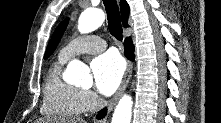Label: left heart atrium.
I'll return each mask as SVG.
<instances>
[{"label": "left heart atrium", "mask_w": 221, "mask_h": 123, "mask_svg": "<svg viewBox=\"0 0 221 123\" xmlns=\"http://www.w3.org/2000/svg\"><path fill=\"white\" fill-rule=\"evenodd\" d=\"M91 71L95 88L108 96L116 90L122 79L124 63L117 54L108 52L93 59Z\"/></svg>", "instance_id": "left-heart-atrium-1"}]
</instances>
